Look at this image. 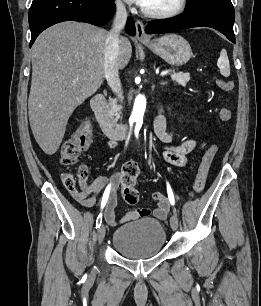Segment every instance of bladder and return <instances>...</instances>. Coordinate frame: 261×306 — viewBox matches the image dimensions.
<instances>
[{
  "label": "bladder",
  "instance_id": "bladder-1",
  "mask_svg": "<svg viewBox=\"0 0 261 306\" xmlns=\"http://www.w3.org/2000/svg\"><path fill=\"white\" fill-rule=\"evenodd\" d=\"M166 232L158 220L142 218L115 229L113 249L128 259H146L159 254L164 248Z\"/></svg>",
  "mask_w": 261,
  "mask_h": 306
}]
</instances>
